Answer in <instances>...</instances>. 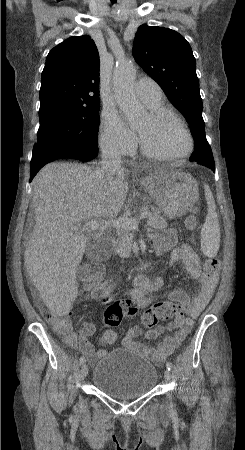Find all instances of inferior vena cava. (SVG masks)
I'll return each mask as SVG.
<instances>
[{
    "mask_svg": "<svg viewBox=\"0 0 245 450\" xmlns=\"http://www.w3.org/2000/svg\"><path fill=\"white\" fill-rule=\"evenodd\" d=\"M101 159V167L98 169L100 177L109 173H115L121 169V155L117 149H104Z\"/></svg>",
    "mask_w": 245,
    "mask_h": 450,
    "instance_id": "602c4592",
    "label": "inferior vena cava"
}]
</instances>
